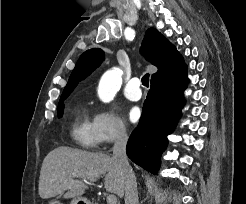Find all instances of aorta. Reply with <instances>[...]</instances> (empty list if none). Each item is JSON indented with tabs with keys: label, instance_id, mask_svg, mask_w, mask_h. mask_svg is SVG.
Masks as SVG:
<instances>
[{
	"label": "aorta",
	"instance_id": "762f6f07",
	"mask_svg": "<svg viewBox=\"0 0 246 204\" xmlns=\"http://www.w3.org/2000/svg\"><path fill=\"white\" fill-rule=\"evenodd\" d=\"M122 71L119 68H113L107 71L101 78L98 94L103 102H109L115 96L121 84Z\"/></svg>",
	"mask_w": 246,
	"mask_h": 204
}]
</instances>
